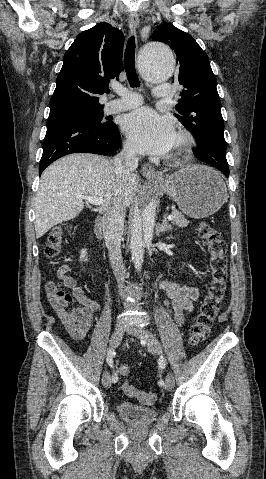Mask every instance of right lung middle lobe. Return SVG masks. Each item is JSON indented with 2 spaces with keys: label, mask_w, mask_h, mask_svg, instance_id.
I'll use <instances>...</instances> for the list:
<instances>
[{
  "label": "right lung middle lobe",
  "mask_w": 266,
  "mask_h": 479,
  "mask_svg": "<svg viewBox=\"0 0 266 479\" xmlns=\"http://www.w3.org/2000/svg\"><path fill=\"white\" fill-rule=\"evenodd\" d=\"M103 107L98 108H74L64 110L56 113H50L49 117H69L88 122L96 126L108 125V122H103Z\"/></svg>",
  "instance_id": "right-lung-middle-lobe-1"
}]
</instances>
